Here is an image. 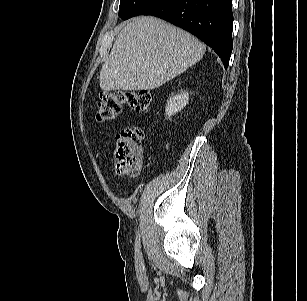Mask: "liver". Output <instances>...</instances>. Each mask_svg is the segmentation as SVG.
Listing matches in <instances>:
<instances>
[{"mask_svg":"<svg viewBox=\"0 0 307 301\" xmlns=\"http://www.w3.org/2000/svg\"><path fill=\"white\" fill-rule=\"evenodd\" d=\"M205 45L155 17H137L118 34L100 71L105 91L151 90L198 62Z\"/></svg>","mask_w":307,"mask_h":301,"instance_id":"1","label":"liver"}]
</instances>
